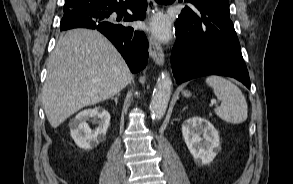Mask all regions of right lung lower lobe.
Segmentation results:
<instances>
[{"label":"right lung lower lobe","instance_id":"1","mask_svg":"<svg viewBox=\"0 0 293 184\" xmlns=\"http://www.w3.org/2000/svg\"><path fill=\"white\" fill-rule=\"evenodd\" d=\"M147 9V0H96L79 9L64 13L61 30L76 27L97 29L118 49L130 70L137 73L142 70L148 59V41L143 32L124 26L112 14L116 12L123 21L143 20ZM131 10L133 15L127 13Z\"/></svg>","mask_w":293,"mask_h":184}]
</instances>
